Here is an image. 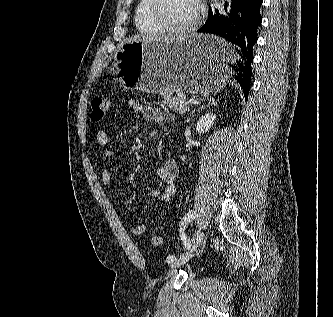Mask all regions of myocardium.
Segmentation results:
<instances>
[{"label": "myocardium", "mask_w": 333, "mask_h": 317, "mask_svg": "<svg viewBox=\"0 0 333 317\" xmlns=\"http://www.w3.org/2000/svg\"><path fill=\"white\" fill-rule=\"evenodd\" d=\"M195 2L197 5L196 16L194 20L188 26L185 27H174L162 19V17L159 14L160 0H149L148 13L151 20L159 29L162 30V32L179 36L188 35L197 29L204 13L203 0H195Z\"/></svg>", "instance_id": "myocardium-1"}]
</instances>
